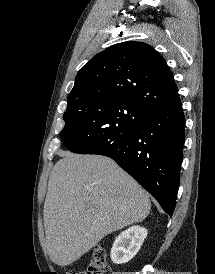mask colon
<instances>
[{
    "label": "colon",
    "instance_id": "1",
    "mask_svg": "<svg viewBox=\"0 0 215 274\" xmlns=\"http://www.w3.org/2000/svg\"><path fill=\"white\" fill-rule=\"evenodd\" d=\"M109 266L107 263L106 250L103 246L93 249L88 268L84 272H71L69 274H108Z\"/></svg>",
    "mask_w": 215,
    "mask_h": 274
}]
</instances>
